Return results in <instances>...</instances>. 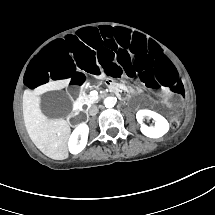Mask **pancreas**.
Listing matches in <instances>:
<instances>
[{"mask_svg":"<svg viewBox=\"0 0 215 215\" xmlns=\"http://www.w3.org/2000/svg\"><path fill=\"white\" fill-rule=\"evenodd\" d=\"M95 99H96V98L91 97V96H89V95L82 96V100L84 101V103H85L86 105L91 104Z\"/></svg>","mask_w":215,"mask_h":215,"instance_id":"1","label":"pancreas"}]
</instances>
